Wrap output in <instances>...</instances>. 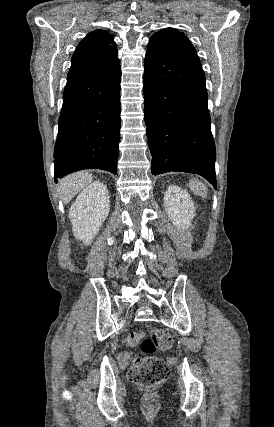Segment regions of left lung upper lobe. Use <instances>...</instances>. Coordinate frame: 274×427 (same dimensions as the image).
<instances>
[{"label": "left lung upper lobe", "mask_w": 274, "mask_h": 427, "mask_svg": "<svg viewBox=\"0 0 274 427\" xmlns=\"http://www.w3.org/2000/svg\"><path fill=\"white\" fill-rule=\"evenodd\" d=\"M151 38H162V39L171 40L175 43L180 44L182 47L189 50L190 52L196 53L189 39L176 29L173 30L171 28H167L165 30H161L155 33Z\"/></svg>", "instance_id": "obj_1"}]
</instances>
